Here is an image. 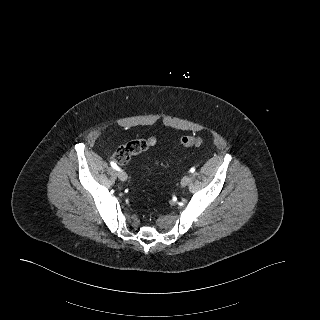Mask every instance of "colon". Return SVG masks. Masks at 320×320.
<instances>
[{"mask_svg": "<svg viewBox=\"0 0 320 320\" xmlns=\"http://www.w3.org/2000/svg\"><path fill=\"white\" fill-rule=\"evenodd\" d=\"M203 144L204 139L199 136H184L180 140L182 147H199ZM149 147V143L143 139L130 141L116 150L114 160L118 164H126L133 155L146 151Z\"/></svg>", "mask_w": 320, "mask_h": 320, "instance_id": "obj_1", "label": "colon"}]
</instances>
